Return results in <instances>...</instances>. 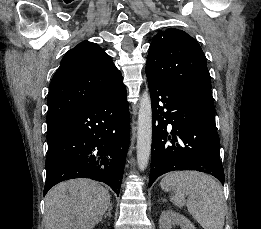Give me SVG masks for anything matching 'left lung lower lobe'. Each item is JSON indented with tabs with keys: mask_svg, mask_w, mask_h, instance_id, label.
Listing matches in <instances>:
<instances>
[{
	"mask_svg": "<svg viewBox=\"0 0 261 229\" xmlns=\"http://www.w3.org/2000/svg\"><path fill=\"white\" fill-rule=\"evenodd\" d=\"M146 74L153 112L149 187L178 170L204 172L224 183L212 91Z\"/></svg>",
	"mask_w": 261,
	"mask_h": 229,
	"instance_id": "1",
	"label": "left lung lower lobe"
}]
</instances>
